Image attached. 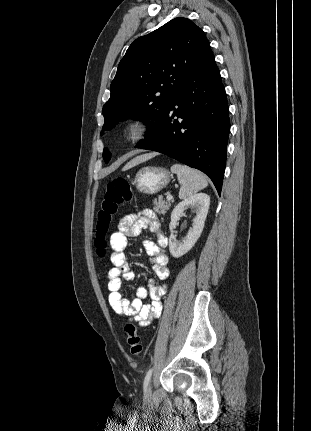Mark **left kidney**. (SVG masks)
Wrapping results in <instances>:
<instances>
[{"label":"left kidney","mask_w":311,"mask_h":431,"mask_svg":"<svg viewBox=\"0 0 311 431\" xmlns=\"http://www.w3.org/2000/svg\"><path fill=\"white\" fill-rule=\"evenodd\" d=\"M209 206L210 198L207 194H195V196H190V198L183 200V202H180L178 206H175L169 223V229L171 231V235L169 237V249L173 257H181V255H184V253H187V251L193 247L195 241H197L203 231L204 221L208 214ZM188 208H191V210L196 212V217H194L192 223L193 227L182 241H177L175 235H173V231L181 214H183L184 210H188Z\"/></svg>","instance_id":"obj_1"}]
</instances>
